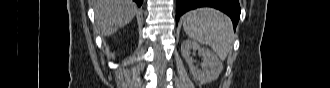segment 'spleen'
<instances>
[{
	"instance_id": "1",
	"label": "spleen",
	"mask_w": 330,
	"mask_h": 88,
	"mask_svg": "<svg viewBox=\"0 0 330 88\" xmlns=\"http://www.w3.org/2000/svg\"><path fill=\"white\" fill-rule=\"evenodd\" d=\"M186 34L199 43L209 45L221 60H225L234 39L230 18L222 12L202 7L182 17Z\"/></svg>"
}]
</instances>
